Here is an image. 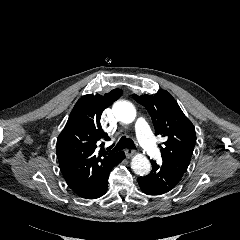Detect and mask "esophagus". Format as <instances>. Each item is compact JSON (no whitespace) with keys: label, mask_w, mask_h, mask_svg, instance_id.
<instances>
[{"label":"esophagus","mask_w":240,"mask_h":240,"mask_svg":"<svg viewBox=\"0 0 240 240\" xmlns=\"http://www.w3.org/2000/svg\"><path fill=\"white\" fill-rule=\"evenodd\" d=\"M136 153V151L134 149L128 148L125 150V155L127 158L132 157L134 154Z\"/></svg>","instance_id":"esophagus-1"}]
</instances>
